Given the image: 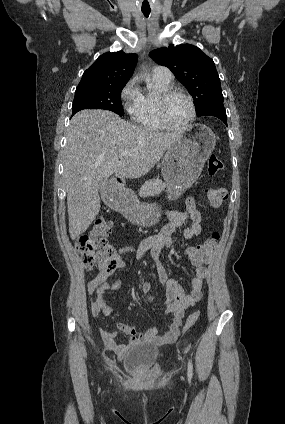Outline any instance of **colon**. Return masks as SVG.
<instances>
[{"label": "colon", "mask_w": 285, "mask_h": 424, "mask_svg": "<svg viewBox=\"0 0 285 424\" xmlns=\"http://www.w3.org/2000/svg\"><path fill=\"white\" fill-rule=\"evenodd\" d=\"M223 167L221 159L211 154L207 159L206 170L208 175L214 176ZM227 192L222 188H207L205 197L209 203L219 208L226 200ZM113 230L112 223L103 217L95 220L89 233L82 235L77 243V250L82 258L85 268L91 269L98 266L104 275H110L119 266L116 260L114 248L107 242L108 236ZM218 234L212 233L210 237L201 243L190 247L187 257L193 264H200L210 258L218 243ZM199 317V312H194L188 316L181 329L186 330L192 327Z\"/></svg>", "instance_id": "1"}]
</instances>
